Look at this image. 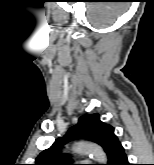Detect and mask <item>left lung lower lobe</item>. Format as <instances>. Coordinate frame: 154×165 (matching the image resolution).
Returning a JSON list of instances; mask_svg holds the SVG:
<instances>
[{"label": "left lung lower lobe", "instance_id": "left-lung-lower-lobe-1", "mask_svg": "<svg viewBox=\"0 0 154 165\" xmlns=\"http://www.w3.org/2000/svg\"><path fill=\"white\" fill-rule=\"evenodd\" d=\"M112 165H130L125 155L123 147H121L118 153L116 154Z\"/></svg>", "mask_w": 154, "mask_h": 165}]
</instances>
